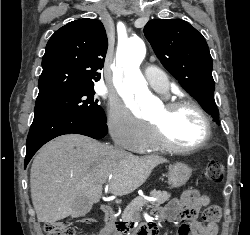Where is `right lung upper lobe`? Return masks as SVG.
<instances>
[{
    "label": "right lung upper lobe",
    "mask_w": 250,
    "mask_h": 235,
    "mask_svg": "<svg viewBox=\"0 0 250 235\" xmlns=\"http://www.w3.org/2000/svg\"><path fill=\"white\" fill-rule=\"evenodd\" d=\"M108 40L103 24L83 18L58 29L42 60L38 97L94 85L100 79Z\"/></svg>",
    "instance_id": "1"
}]
</instances>
